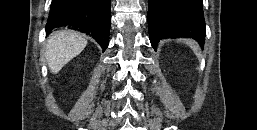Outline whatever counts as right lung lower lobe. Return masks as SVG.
Returning a JSON list of instances; mask_svg holds the SVG:
<instances>
[{
    "instance_id": "obj_1",
    "label": "right lung lower lobe",
    "mask_w": 257,
    "mask_h": 130,
    "mask_svg": "<svg viewBox=\"0 0 257 130\" xmlns=\"http://www.w3.org/2000/svg\"><path fill=\"white\" fill-rule=\"evenodd\" d=\"M110 0H53L46 32L59 27H74L92 36L102 49L109 44Z\"/></svg>"
}]
</instances>
